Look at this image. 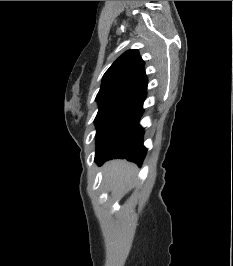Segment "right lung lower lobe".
I'll return each instance as SVG.
<instances>
[{
  "instance_id": "obj_1",
  "label": "right lung lower lobe",
  "mask_w": 233,
  "mask_h": 266,
  "mask_svg": "<svg viewBox=\"0 0 233 266\" xmlns=\"http://www.w3.org/2000/svg\"><path fill=\"white\" fill-rule=\"evenodd\" d=\"M143 104L125 121V123L96 151L95 162L102 164L113 158H126L141 165L146 148L143 146V128L139 120L143 113Z\"/></svg>"
}]
</instances>
